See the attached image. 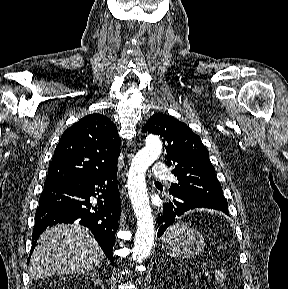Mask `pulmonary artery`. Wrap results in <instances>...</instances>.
<instances>
[{
	"instance_id": "1",
	"label": "pulmonary artery",
	"mask_w": 288,
	"mask_h": 289,
	"mask_svg": "<svg viewBox=\"0 0 288 289\" xmlns=\"http://www.w3.org/2000/svg\"><path fill=\"white\" fill-rule=\"evenodd\" d=\"M153 174L159 179H171L175 181V178L171 175V172L167 167L161 163H156L153 167Z\"/></svg>"
}]
</instances>
